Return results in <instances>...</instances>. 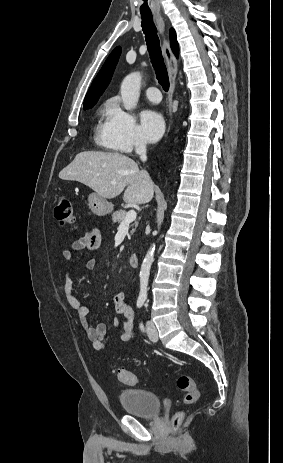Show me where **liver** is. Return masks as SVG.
<instances>
[{
  "instance_id": "1",
  "label": "liver",
  "mask_w": 283,
  "mask_h": 463,
  "mask_svg": "<svg viewBox=\"0 0 283 463\" xmlns=\"http://www.w3.org/2000/svg\"><path fill=\"white\" fill-rule=\"evenodd\" d=\"M59 178L81 182L107 199L124 191L126 203L145 204L154 196L149 174L139 169L133 159L119 153L81 152L60 171Z\"/></svg>"
}]
</instances>
